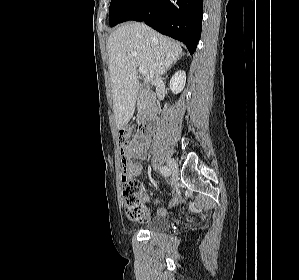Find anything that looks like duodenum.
I'll return each mask as SVG.
<instances>
[{"label":"duodenum","mask_w":299,"mask_h":280,"mask_svg":"<svg viewBox=\"0 0 299 280\" xmlns=\"http://www.w3.org/2000/svg\"><path fill=\"white\" fill-rule=\"evenodd\" d=\"M140 102L143 109L141 131L144 134H151L155 130L157 123V108L155 97L152 93L144 91L140 95Z\"/></svg>","instance_id":"1"}]
</instances>
